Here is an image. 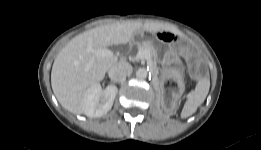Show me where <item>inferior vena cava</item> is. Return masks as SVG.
<instances>
[{
  "label": "inferior vena cava",
  "mask_w": 261,
  "mask_h": 150,
  "mask_svg": "<svg viewBox=\"0 0 261 150\" xmlns=\"http://www.w3.org/2000/svg\"><path fill=\"white\" fill-rule=\"evenodd\" d=\"M133 71L132 66L126 61H120L110 68L109 77L111 80H120L131 75Z\"/></svg>",
  "instance_id": "inferior-vena-cava-1"
}]
</instances>
